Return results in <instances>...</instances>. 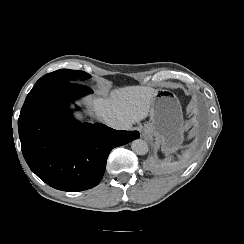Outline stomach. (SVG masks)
Listing matches in <instances>:
<instances>
[{"mask_svg": "<svg viewBox=\"0 0 244 244\" xmlns=\"http://www.w3.org/2000/svg\"><path fill=\"white\" fill-rule=\"evenodd\" d=\"M143 133L156 139L166 154L181 148L184 126L178 98L169 90H156L150 106V120L143 126Z\"/></svg>", "mask_w": 244, "mask_h": 244, "instance_id": "1", "label": "stomach"}]
</instances>
